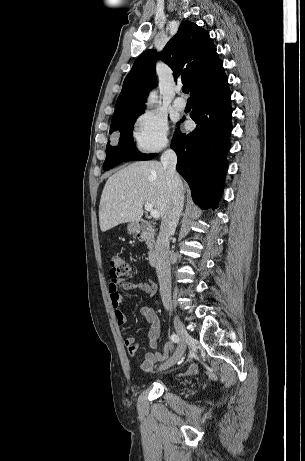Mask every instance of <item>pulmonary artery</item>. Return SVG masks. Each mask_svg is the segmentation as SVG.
<instances>
[{
    "instance_id": "pulmonary-artery-1",
    "label": "pulmonary artery",
    "mask_w": 305,
    "mask_h": 461,
    "mask_svg": "<svg viewBox=\"0 0 305 461\" xmlns=\"http://www.w3.org/2000/svg\"><path fill=\"white\" fill-rule=\"evenodd\" d=\"M178 93H180V91H178ZM173 107H174L176 110L182 111V110H184L185 107H186V101H185L182 97H177V98H175V100L173 101Z\"/></svg>"
}]
</instances>
